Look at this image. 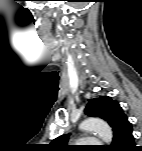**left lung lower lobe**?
I'll return each mask as SVG.
<instances>
[{"label":"left lung lower lobe","instance_id":"left-lung-lower-lobe-1","mask_svg":"<svg viewBox=\"0 0 142 151\" xmlns=\"http://www.w3.org/2000/svg\"><path fill=\"white\" fill-rule=\"evenodd\" d=\"M132 127L122 133L115 143L109 147L110 151H136Z\"/></svg>","mask_w":142,"mask_h":151}]
</instances>
